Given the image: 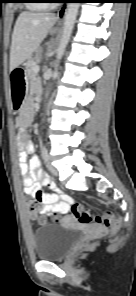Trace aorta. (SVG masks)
<instances>
[{
  "instance_id": "aorta-1",
  "label": "aorta",
  "mask_w": 136,
  "mask_h": 296,
  "mask_svg": "<svg viewBox=\"0 0 136 296\" xmlns=\"http://www.w3.org/2000/svg\"><path fill=\"white\" fill-rule=\"evenodd\" d=\"M79 3H68L67 10L65 13V19H64V27H63V33L62 37L60 39V44L57 49V57H56V63H55V69L52 74L53 78L55 79L58 75V68H59V62L64 55L65 48L68 44V41L70 39L74 23L76 20V16L78 13Z\"/></svg>"
}]
</instances>
